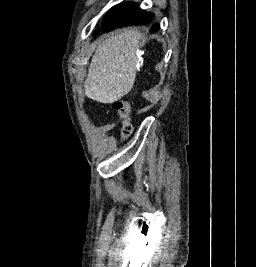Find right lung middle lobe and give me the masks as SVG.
Here are the masks:
<instances>
[{"label": "right lung middle lobe", "mask_w": 256, "mask_h": 267, "mask_svg": "<svg viewBox=\"0 0 256 267\" xmlns=\"http://www.w3.org/2000/svg\"><path fill=\"white\" fill-rule=\"evenodd\" d=\"M137 7V4L130 2L112 7L103 18L102 31L106 33L115 29L117 24L130 16Z\"/></svg>", "instance_id": "obj_1"}]
</instances>
